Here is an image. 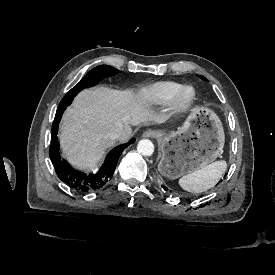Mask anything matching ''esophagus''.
Here are the masks:
<instances>
[{
    "instance_id": "obj_1",
    "label": "esophagus",
    "mask_w": 275,
    "mask_h": 275,
    "mask_svg": "<svg viewBox=\"0 0 275 275\" xmlns=\"http://www.w3.org/2000/svg\"><path fill=\"white\" fill-rule=\"evenodd\" d=\"M159 133L156 130H147L143 133V137L146 138H155L158 137Z\"/></svg>"
}]
</instances>
